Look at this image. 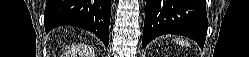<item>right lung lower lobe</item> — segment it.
Masks as SVG:
<instances>
[{
    "mask_svg": "<svg viewBox=\"0 0 249 57\" xmlns=\"http://www.w3.org/2000/svg\"><path fill=\"white\" fill-rule=\"evenodd\" d=\"M110 15L111 0H48L44 26L46 32L62 25L80 27L108 46Z\"/></svg>",
    "mask_w": 249,
    "mask_h": 57,
    "instance_id": "right-lung-lower-lobe-1",
    "label": "right lung lower lobe"
}]
</instances>
